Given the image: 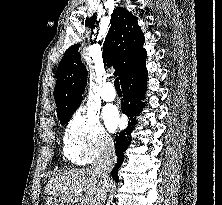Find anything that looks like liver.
I'll list each match as a JSON object with an SVG mask.
<instances>
[{"mask_svg":"<svg viewBox=\"0 0 222 205\" xmlns=\"http://www.w3.org/2000/svg\"><path fill=\"white\" fill-rule=\"evenodd\" d=\"M46 195L59 197L65 203L101 205L106 190L93 169H72L51 178L44 190Z\"/></svg>","mask_w":222,"mask_h":205,"instance_id":"1","label":"liver"}]
</instances>
